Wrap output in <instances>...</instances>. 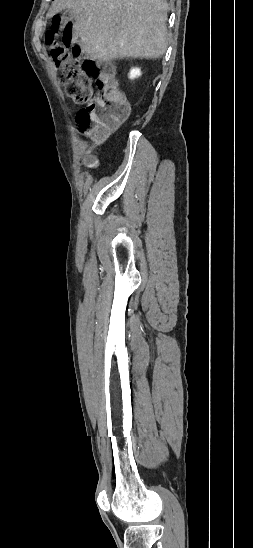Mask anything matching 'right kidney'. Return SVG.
Returning <instances> with one entry per match:
<instances>
[{"label":"right kidney","mask_w":253,"mask_h":548,"mask_svg":"<svg viewBox=\"0 0 253 548\" xmlns=\"http://www.w3.org/2000/svg\"><path fill=\"white\" fill-rule=\"evenodd\" d=\"M141 75V70L139 68H132L129 73V78L134 79L136 77H139Z\"/></svg>","instance_id":"obj_1"}]
</instances>
